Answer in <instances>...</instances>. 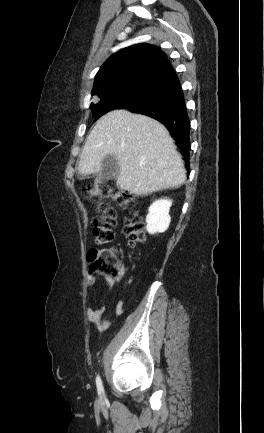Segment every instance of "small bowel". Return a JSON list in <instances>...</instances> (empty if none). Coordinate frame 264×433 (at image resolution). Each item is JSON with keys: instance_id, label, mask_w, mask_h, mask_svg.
<instances>
[{"instance_id": "c3829d8e", "label": "small bowel", "mask_w": 264, "mask_h": 433, "mask_svg": "<svg viewBox=\"0 0 264 433\" xmlns=\"http://www.w3.org/2000/svg\"><path fill=\"white\" fill-rule=\"evenodd\" d=\"M123 277V272L120 273V277L118 281H120ZM87 286L92 287L95 285V277L88 273L86 277ZM106 309L104 306L100 307H91L88 309L87 316L88 320L93 323L99 332H104L109 329L111 322L108 318L105 317ZM123 313V300L121 298L118 299L115 314L117 316Z\"/></svg>"}]
</instances>
